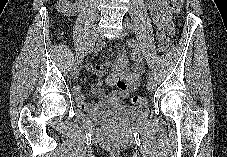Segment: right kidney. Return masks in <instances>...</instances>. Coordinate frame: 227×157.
<instances>
[{"instance_id":"right-kidney-1","label":"right kidney","mask_w":227,"mask_h":157,"mask_svg":"<svg viewBox=\"0 0 227 157\" xmlns=\"http://www.w3.org/2000/svg\"><path fill=\"white\" fill-rule=\"evenodd\" d=\"M58 2H61L62 5L60 6L59 5V9L62 13L66 14V15H73L74 12H75V9L74 8H71V7H67L68 5V2L67 1H62V0H59Z\"/></svg>"}]
</instances>
